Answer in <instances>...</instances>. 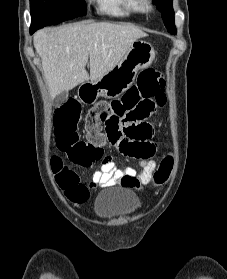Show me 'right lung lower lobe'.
<instances>
[{
  "instance_id": "obj_1",
  "label": "right lung lower lobe",
  "mask_w": 227,
  "mask_h": 279,
  "mask_svg": "<svg viewBox=\"0 0 227 279\" xmlns=\"http://www.w3.org/2000/svg\"><path fill=\"white\" fill-rule=\"evenodd\" d=\"M38 29H39L38 27H31L30 28V34H33Z\"/></svg>"
}]
</instances>
